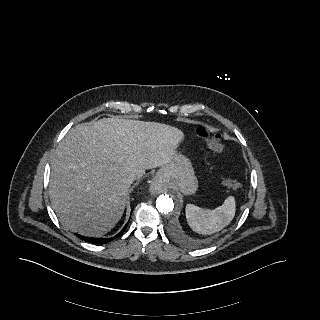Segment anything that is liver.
<instances>
[{
  "label": "liver",
  "mask_w": 320,
  "mask_h": 320,
  "mask_svg": "<svg viewBox=\"0 0 320 320\" xmlns=\"http://www.w3.org/2000/svg\"><path fill=\"white\" fill-rule=\"evenodd\" d=\"M183 139L173 126L119 118L72 128L51 165L49 195L62 225L83 236L105 235L124 213L129 174L166 165Z\"/></svg>",
  "instance_id": "liver-1"
}]
</instances>
